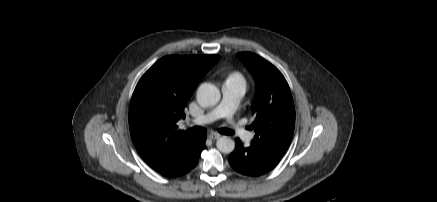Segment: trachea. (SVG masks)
<instances>
[{"label": "trachea", "instance_id": "obj_1", "mask_svg": "<svg viewBox=\"0 0 437 202\" xmlns=\"http://www.w3.org/2000/svg\"><path fill=\"white\" fill-rule=\"evenodd\" d=\"M190 130L195 134H203V133L207 132L206 128L199 127V126L192 127ZM218 132L221 134H224V135H232L233 134V131L230 129H227V128H221L218 130Z\"/></svg>", "mask_w": 437, "mask_h": 202}]
</instances>
